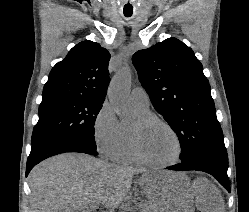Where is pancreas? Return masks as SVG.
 <instances>
[{
  "mask_svg": "<svg viewBox=\"0 0 249 212\" xmlns=\"http://www.w3.org/2000/svg\"><path fill=\"white\" fill-rule=\"evenodd\" d=\"M139 212H153L149 204H139Z\"/></svg>",
  "mask_w": 249,
  "mask_h": 212,
  "instance_id": "pancreas-1",
  "label": "pancreas"
}]
</instances>
